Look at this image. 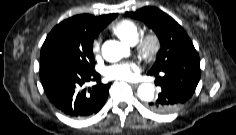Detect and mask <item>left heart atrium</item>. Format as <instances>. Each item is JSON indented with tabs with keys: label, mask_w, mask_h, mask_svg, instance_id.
I'll list each match as a JSON object with an SVG mask.
<instances>
[{
	"label": "left heart atrium",
	"mask_w": 236,
	"mask_h": 135,
	"mask_svg": "<svg viewBox=\"0 0 236 135\" xmlns=\"http://www.w3.org/2000/svg\"><path fill=\"white\" fill-rule=\"evenodd\" d=\"M138 69L135 62L115 64L106 69V76L113 79H130Z\"/></svg>",
	"instance_id": "39dd6f15"
}]
</instances>
